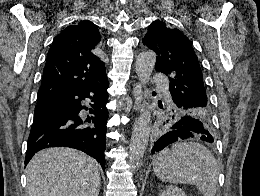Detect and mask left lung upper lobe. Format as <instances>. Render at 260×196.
<instances>
[{"mask_svg": "<svg viewBox=\"0 0 260 196\" xmlns=\"http://www.w3.org/2000/svg\"><path fill=\"white\" fill-rule=\"evenodd\" d=\"M143 44L157 54L156 71L171 76L169 90L173 102L165 109L159 104L163 112L153 131L152 143L170 131L176 122L186 118L203 122L212 133V109L200 63L189 39L179 29L157 20L149 26Z\"/></svg>", "mask_w": 260, "mask_h": 196, "instance_id": "5c2ea615", "label": "left lung upper lobe"}]
</instances>
